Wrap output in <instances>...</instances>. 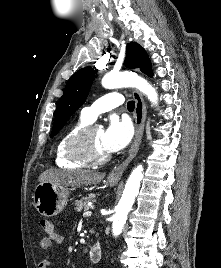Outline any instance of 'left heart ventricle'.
<instances>
[{
  "mask_svg": "<svg viewBox=\"0 0 221 268\" xmlns=\"http://www.w3.org/2000/svg\"><path fill=\"white\" fill-rule=\"evenodd\" d=\"M103 136L104 131L101 128H96L93 131L91 137L93 149L99 155H105L109 153L105 148Z\"/></svg>",
  "mask_w": 221,
  "mask_h": 268,
  "instance_id": "1",
  "label": "left heart ventricle"
}]
</instances>
